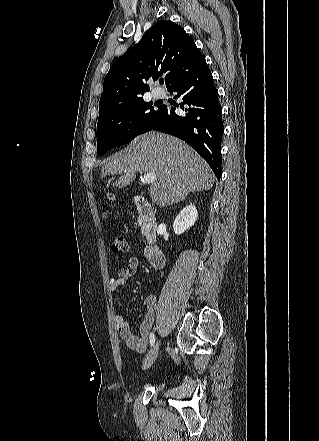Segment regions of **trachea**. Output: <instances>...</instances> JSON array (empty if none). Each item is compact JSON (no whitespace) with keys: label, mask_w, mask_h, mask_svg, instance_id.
I'll return each mask as SVG.
<instances>
[{"label":"trachea","mask_w":319,"mask_h":441,"mask_svg":"<svg viewBox=\"0 0 319 441\" xmlns=\"http://www.w3.org/2000/svg\"><path fill=\"white\" fill-rule=\"evenodd\" d=\"M159 82H160V84H163V83H164V81H163V80H160Z\"/></svg>","instance_id":"obj_1"}]
</instances>
